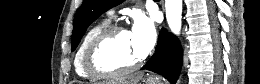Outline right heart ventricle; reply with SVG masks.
<instances>
[{
    "instance_id": "e07e8e85",
    "label": "right heart ventricle",
    "mask_w": 260,
    "mask_h": 84,
    "mask_svg": "<svg viewBox=\"0 0 260 84\" xmlns=\"http://www.w3.org/2000/svg\"><path fill=\"white\" fill-rule=\"evenodd\" d=\"M109 26V19H103L94 26H92L85 36L83 37L79 48L75 55V70L79 77L83 79H95L94 76L90 75L85 68L86 53L88 46L90 45L93 38L105 27Z\"/></svg>"
}]
</instances>
